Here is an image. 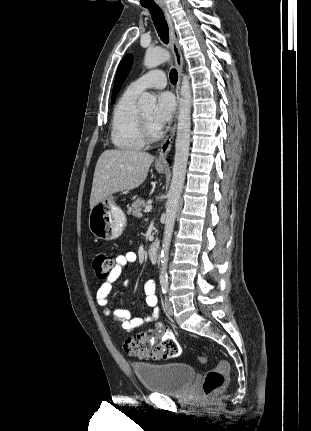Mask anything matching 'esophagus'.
I'll return each instance as SVG.
<instances>
[{"label": "esophagus", "instance_id": "34e87169", "mask_svg": "<svg viewBox=\"0 0 311 431\" xmlns=\"http://www.w3.org/2000/svg\"><path fill=\"white\" fill-rule=\"evenodd\" d=\"M160 7L163 10V13L165 15V18H166L168 26H169L170 48L173 52V55L175 58V63H176V66L178 68V81H177V85H176V89H175L176 100H177V104H178L179 100H180V84H181V76H182L183 58H182V53H181L179 44H178L176 36H175L174 25H173V21H172V17H171V14L169 12V9H168L166 4H160ZM176 126H177V112L175 114L174 124L172 125L169 136H167V138H165V140H163L162 143L160 144L158 157L156 159V164H158V165L167 166L166 165V158H167V155L169 154L171 147H172V144L174 142V137H175V133H176Z\"/></svg>", "mask_w": 311, "mask_h": 431}]
</instances>
